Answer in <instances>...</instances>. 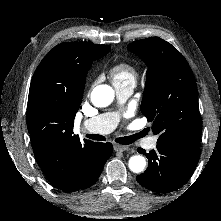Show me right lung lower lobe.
Segmentation results:
<instances>
[{"label":"right lung lower lobe","instance_id":"98d812e1","mask_svg":"<svg viewBox=\"0 0 221 221\" xmlns=\"http://www.w3.org/2000/svg\"><path fill=\"white\" fill-rule=\"evenodd\" d=\"M113 151L110 142L94 143L77 163V177L68 186L60 189L65 192H75L92 186L100 176L105 162Z\"/></svg>","mask_w":221,"mask_h":221}]
</instances>
